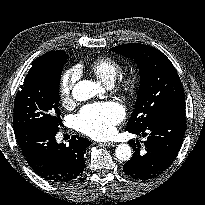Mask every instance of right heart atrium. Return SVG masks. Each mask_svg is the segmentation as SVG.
I'll use <instances>...</instances> for the list:
<instances>
[{"label": "right heart atrium", "mask_w": 205, "mask_h": 205, "mask_svg": "<svg viewBox=\"0 0 205 205\" xmlns=\"http://www.w3.org/2000/svg\"><path fill=\"white\" fill-rule=\"evenodd\" d=\"M79 78V73L76 68H71L64 72L59 83V96L65 103L71 100L72 90Z\"/></svg>", "instance_id": "right-heart-atrium-1"}]
</instances>
